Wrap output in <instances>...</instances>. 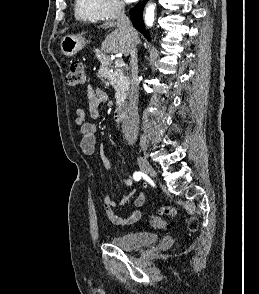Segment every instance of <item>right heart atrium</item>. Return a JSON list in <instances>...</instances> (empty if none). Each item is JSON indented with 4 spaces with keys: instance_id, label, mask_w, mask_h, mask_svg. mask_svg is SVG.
I'll return each instance as SVG.
<instances>
[{
    "instance_id": "1",
    "label": "right heart atrium",
    "mask_w": 259,
    "mask_h": 294,
    "mask_svg": "<svg viewBox=\"0 0 259 294\" xmlns=\"http://www.w3.org/2000/svg\"><path fill=\"white\" fill-rule=\"evenodd\" d=\"M103 19H114L124 11V5L120 0H95Z\"/></svg>"
}]
</instances>
